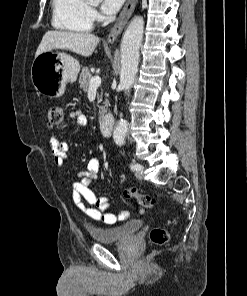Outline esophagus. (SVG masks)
Here are the masks:
<instances>
[{"label":"esophagus","instance_id":"obj_1","mask_svg":"<svg viewBox=\"0 0 247 296\" xmlns=\"http://www.w3.org/2000/svg\"><path fill=\"white\" fill-rule=\"evenodd\" d=\"M137 2L138 0L127 1L119 17L117 18L114 26L112 27L110 33L108 34V37H107L108 43H113L117 39V37L121 34L129 18L131 17L137 5Z\"/></svg>","mask_w":247,"mask_h":296}]
</instances>
